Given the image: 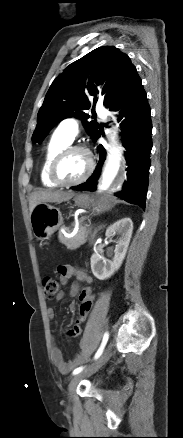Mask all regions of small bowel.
Here are the masks:
<instances>
[{
    "label": "small bowel",
    "mask_w": 183,
    "mask_h": 438,
    "mask_svg": "<svg viewBox=\"0 0 183 438\" xmlns=\"http://www.w3.org/2000/svg\"><path fill=\"white\" fill-rule=\"evenodd\" d=\"M58 273H59V280L62 285H66L70 278L75 277L76 282L72 284L71 288L67 293L60 292L56 299L58 301L63 300L65 297H74L76 295L79 296V300L82 297V295H91L92 290L90 287H85L81 289V283L85 284H91L93 279L92 277L87 273L86 270L80 268V267H74L71 265H61L58 267ZM71 310H74L76 308V303L71 302L69 305ZM49 319L53 320L55 318V312L53 309H48L47 311ZM82 329H81V321L78 318L76 323L72 326V328L68 331V335L75 337L80 335ZM52 358L54 364L58 367V369L62 373H69L76 365H78L81 362V359L76 358L74 360L66 361L63 357V354L60 349L55 347L53 349Z\"/></svg>",
    "instance_id": "small-bowel-1"
}]
</instances>
